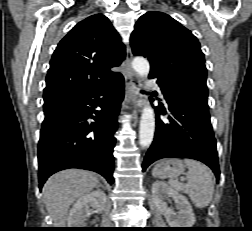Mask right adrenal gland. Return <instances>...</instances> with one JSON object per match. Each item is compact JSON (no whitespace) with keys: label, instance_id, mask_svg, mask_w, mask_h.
<instances>
[{"label":"right adrenal gland","instance_id":"right-adrenal-gland-1","mask_svg":"<svg viewBox=\"0 0 252 231\" xmlns=\"http://www.w3.org/2000/svg\"><path fill=\"white\" fill-rule=\"evenodd\" d=\"M99 186L102 187V188H104L103 185H101V184Z\"/></svg>","mask_w":252,"mask_h":231}]
</instances>
